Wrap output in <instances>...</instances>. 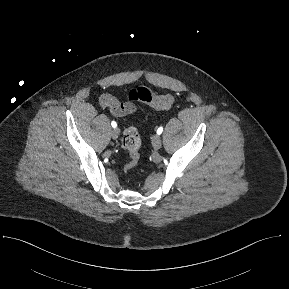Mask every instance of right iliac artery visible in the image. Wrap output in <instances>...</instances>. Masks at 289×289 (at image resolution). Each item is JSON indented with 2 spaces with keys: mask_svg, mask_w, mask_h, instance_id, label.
Listing matches in <instances>:
<instances>
[{
  "mask_svg": "<svg viewBox=\"0 0 289 289\" xmlns=\"http://www.w3.org/2000/svg\"><path fill=\"white\" fill-rule=\"evenodd\" d=\"M111 125H112L113 128H116V127H117V123H116L115 121H112V122H111Z\"/></svg>",
  "mask_w": 289,
  "mask_h": 289,
  "instance_id": "right-iliac-artery-1",
  "label": "right iliac artery"
}]
</instances>
